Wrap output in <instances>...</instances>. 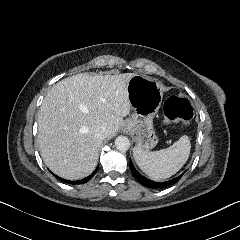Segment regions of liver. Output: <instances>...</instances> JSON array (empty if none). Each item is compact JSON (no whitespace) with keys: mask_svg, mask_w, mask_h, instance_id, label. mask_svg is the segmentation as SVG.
Returning a JSON list of instances; mask_svg holds the SVG:
<instances>
[{"mask_svg":"<svg viewBox=\"0 0 240 240\" xmlns=\"http://www.w3.org/2000/svg\"><path fill=\"white\" fill-rule=\"evenodd\" d=\"M134 73H79L52 86L38 113V145L46 167L57 176L81 180L95 170L105 127L107 139L123 128L130 109L126 85Z\"/></svg>","mask_w":240,"mask_h":240,"instance_id":"liver-1","label":"liver"}]
</instances>
